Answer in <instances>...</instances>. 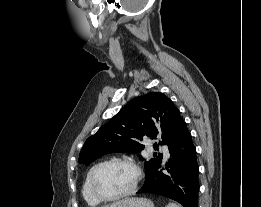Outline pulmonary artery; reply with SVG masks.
Masks as SVG:
<instances>
[{"instance_id": "obj_1", "label": "pulmonary artery", "mask_w": 261, "mask_h": 207, "mask_svg": "<svg viewBox=\"0 0 261 207\" xmlns=\"http://www.w3.org/2000/svg\"><path fill=\"white\" fill-rule=\"evenodd\" d=\"M168 157V153L167 152H165V158H167Z\"/></svg>"}]
</instances>
